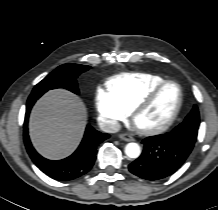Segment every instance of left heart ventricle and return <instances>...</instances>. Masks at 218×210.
<instances>
[{
  "label": "left heart ventricle",
  "instance_id": "1",
  "mask_svg": "<svg viewBox=\"0 0 218 210\" xmlns=\"http://www.w3.org/2000/svg\"><path fill=\"white\" fill-rule=\"evenodd\" d=\"M179 101V89L174 84L165 86L154 102L136 118V126L150 129L164 124L173 114Z\"/></svg>",
  "mask_w": 218,
  "mask_h": 210
}]
</instances>
